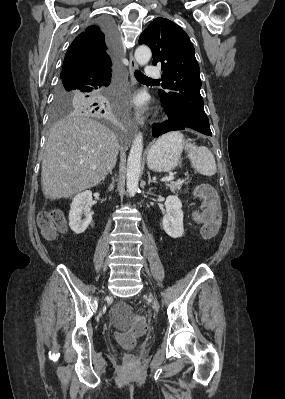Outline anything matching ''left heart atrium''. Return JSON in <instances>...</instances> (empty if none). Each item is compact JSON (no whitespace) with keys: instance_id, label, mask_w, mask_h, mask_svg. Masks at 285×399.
<instances>
[{"instance_id":"obj_1","label":"left heart atrium","mask_w":285,"mask_h":399,"mask_svg":"<svg viewBox=\"0 0 285 399\" xmlns=\"http://www.w3.org/2000/svg\"><path fill=\"white\" fill-rule=\"evenodd\" d=\"M137 107H142L145 104L144 98L142 96H136L133 100Z\"/></svg>"}]
</instances>
